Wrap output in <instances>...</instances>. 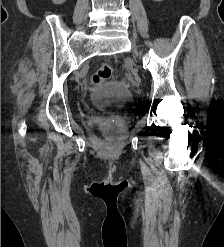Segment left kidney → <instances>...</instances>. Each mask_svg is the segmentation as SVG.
<instances>
[{"label": "left kidney", "mask_w": 224, "mask_h": 247, "mask_svg": "<svg viewBox=\"0 0 224 247\" xmlns=\"http://www.w3.org/2000/svg\"><path fill=\"white\" fill-rule=\"evenodd\" d=\"M154 2H162V0H154Z\"/></svg>", "instance_id": "1"}]
</instances>
